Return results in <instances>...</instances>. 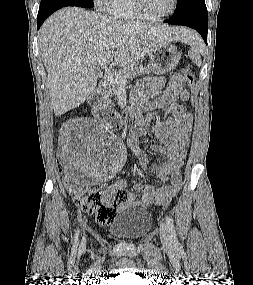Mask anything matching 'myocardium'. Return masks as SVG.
I'll return each mask as SVG.
<instances>
[{"label": "myocardium", "mask_w": 253, "mask_h": 285, "mask_svg": "<svg viewBox=\"0 0 253 285\" xmlns=\"http://www.w3.org/2000/svg\"><path fill=\"white\" fill-rule=\"evenodd\" d=\"M133 5H134V8L138 16L141 19L149 20V21H159V20L169 17L175 12L177 5H178V0H173L172 7L170 8V10L167 13L159 15V16H151V15L146 14L142 6V0H133Z\"/></svg>", "instance_id": "myocardium-1"}]
</instances>
